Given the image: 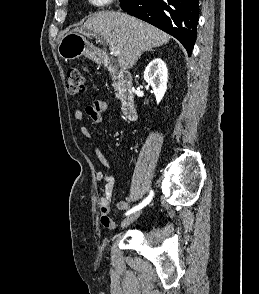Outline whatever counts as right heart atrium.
<instances>
[{"instance_id": "right-heart-atrium-1", "label": "right heart atrium", "mask_w": 259, "mask_h": 294, "mask_svg": "<svg viewBox=\"0 0 259 294\" xmlns=\"http://www.w3.org/2000/svg\"><path fill=\"white\" fill-rule=\"evenodd\" d=\"M112 0H88V3L93 7H104L108 5Z\"/></svg>"}]
</instances>
